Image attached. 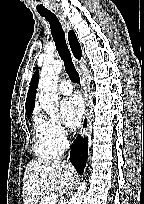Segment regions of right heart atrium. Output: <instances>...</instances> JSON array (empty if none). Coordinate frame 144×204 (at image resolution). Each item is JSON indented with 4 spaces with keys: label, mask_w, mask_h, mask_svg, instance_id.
<instances>
[{
    "label": "right heart atrium",
    "mask_w": 144,
    "mask_h": 204,
    "mask_svg": "<svg viewBox=\"0 0 144 204\" xmlns=\"http://www.w3.org/2000/svg\"><path fill=\"white\" fill-rule=\"evenodd\" d=\"M46 134L49 141L61 152L69 145V133L57 121L51 119H43Z\"/></svg>",
    "instance_id": "1"
}]
</instances>
